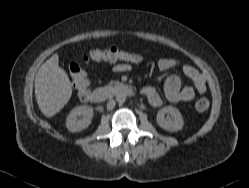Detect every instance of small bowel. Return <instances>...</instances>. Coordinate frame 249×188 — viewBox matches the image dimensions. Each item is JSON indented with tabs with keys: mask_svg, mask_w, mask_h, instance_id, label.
<instances>
[{
	"mask_svg": "<svg viewBox=\"0 0 249 188\" xmlns=\"http://www.w3.org/2000/svg\"><path fill=\"white\" fill-rule=\"evenodd\" d=\"M131 58L124 60L128 63H138L141 61V56L137 53L128 52ZM128 63H120L116 65L115 71L125 72L130 69ZM158 67L163 71L179 68L192 85H182L181 80L177 76H169L164 83V95L170 103L189 102L192 101L196 93L203 94L207 90L206 81L201 73L190 65H181L174 59L163 57L158 60ZM141 93L147 98L149 103L154 107H159L163 104V98L152 86H146L141 90Z\"/></svg>",
	"mask_w": 249,
	"mask_h": 188,
	"instance_id": "obj_1",
	"label": "small bowel"
}]
</instances>
